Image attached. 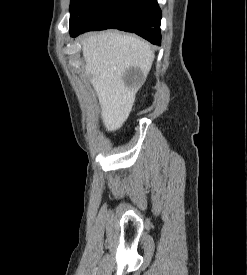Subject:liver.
I'll return each mask as SVG.
<instances>
[{
	"label": "liver",
	"instance_id": "liver-1",
	"mask_svg": "<svg viewBox=\"0 0 247 275\" xmlns=\"http://www.w3.org/2000/svg\"><path fill=\"white\" fill-rule=\"evenodd\" d=\"M85 73L90 75L101 106L107 131H115L127 120L140 84L128 86L123 75L134 67L147 77L154 53L149 43L117 32L90 34L81 40Z\"/></svg>",
	"mask_w": 247,
	"mask_h": 275
}]
</instances>
